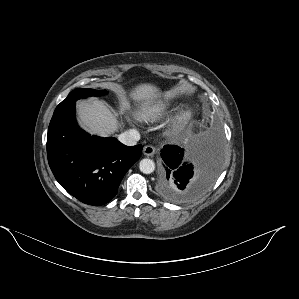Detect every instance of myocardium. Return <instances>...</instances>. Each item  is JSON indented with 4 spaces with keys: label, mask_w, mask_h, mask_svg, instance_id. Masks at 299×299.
<instances>
[{
    "label": "myocardium",
    "mask_w": 299,
    "mask_h": 299,
    "mask_svg": "<svg viewBox=\"0 0 299 299\" xmlns=\"http://www.w3.org/2000/svg\"><path fill=\"white\" fill-rule=\"evenodd\" d=\"M189 116L187 109H181L172 119V126L181 125Z\"/></svg>",
    "instance_id": "f54148a6"
}]
</instances>
